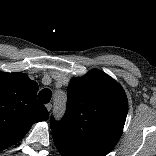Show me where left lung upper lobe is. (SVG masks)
<instances>
[{"label": "left lung upper lobe", "mask_w": 156, "mask_h": 156, "mask_svg": "<svg viewBox=\"0 0 156 156\" xmlns=\"http://www.w3.org/2000/svg\"><path fill=\"white\" fill-rule=\"evenodd\" d=\"M127 112L122 87L106 73L93 70L71 80L63 119L50 121L52 135L94 156H105L118 142Z\"/></svg>", "instance_id": "left-lung-upper-lobe-1"}]
</instances>
